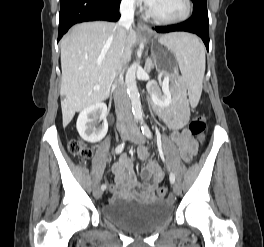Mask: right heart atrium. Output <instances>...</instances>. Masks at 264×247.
<instances>
[{
	"label": "right heart atrium",
	"mask_w": 264,
	"mask_h": 247,
	"mask_svg": "<svg viewBox=\"0 0 264 247\" xmlns=\"http://www.w3.org/2000/svg\"><path fill=\"white\" fill-rule=\"evenodd\" d=\"M122 5L128 9H132L137 6V0H122Z\"/></svg>",
	"instance_id": "1"
}]
</instances>
